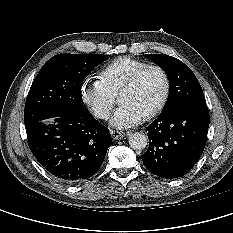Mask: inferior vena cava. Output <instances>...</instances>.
Masks as SVG:
<instances>
[{
  "label": "inferior vena cava",
  "instance_id": "inferior-vena-cava-1",
  "mask_svg": "<svg viewBox=\"0 0 233 233\" xmlns=\"http://www.w3.org/2000/svg\"><path fill=\"white\" fill-rule=\"evenodd\" d=\"M96 116L98 118L107 120L110 116V111L106 108L99 109L96 113Z\"/></svg>",
  "mask_w": 233,
  "mask_h": 233
}]
</instances>
